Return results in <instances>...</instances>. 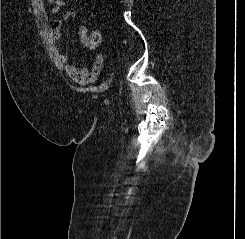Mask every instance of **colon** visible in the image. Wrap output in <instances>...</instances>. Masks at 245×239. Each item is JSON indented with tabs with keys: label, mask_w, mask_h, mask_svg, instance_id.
<instances>
[{
	"label": "colon",
	"mask_w": 245,
	"mask_h": 239,
	"mask_svg": "<svg viewBox=\"0 0 245 239\" xmlns=\"http://www.w3.org/2000/svg\"><path fill=\"white\" fill-rule=\"evenodd\" d=\"M50 2H55V0H49ZM97 43V39L94 36L90 38V44L95 45Z\"/></svg>",
	"instance_id": "colon-1"
}]
</instances>
